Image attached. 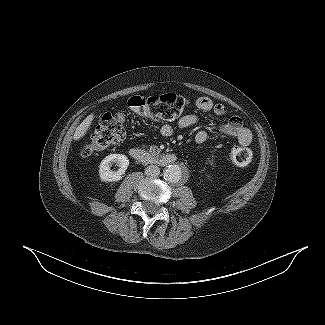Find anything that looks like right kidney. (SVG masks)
I'll list each match as a JSON object with an SVG mask.
<instances>
[{
  "mask_svg": "<svg viewBox=\"0 0 325 325\" xmlns=\"http://www.w3.org/2000/svg\"><path fill=\"white\" fill-rule=\"evenodd\" d=\"M111 163H117L118 171L110 169ZM129 166V159L123 154H110L106 156L99 165V176L101 180L108 182H116L123 178Z\"/></svg>",
  "mask_w": 325,
  "mask_h": 325,
  "instance_id": "1",
  "label": "right kidney"
}]
</instances>
